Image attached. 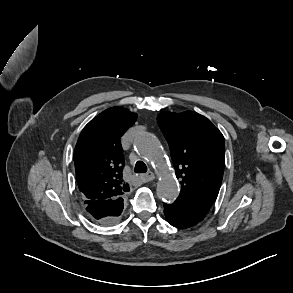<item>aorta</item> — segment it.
<instances>
[{
    "label": "aorta",
    "instance_id": "obj_1",
    "mask_svg": "<svg viewBox=\"0 0 293 293\" xmlns=\"http://www.w3.org/2000/svg\"><path fill=\"white\" fill-rule=\"evenodd\" d=\"M134 146L137 153L157 171L159 196L166 201H174L178 197L179 187L158 139L144 132L135 138Z\"/></svg>",
    "mask_w": 293,
    "mask_h": 293
}]
</instances>
